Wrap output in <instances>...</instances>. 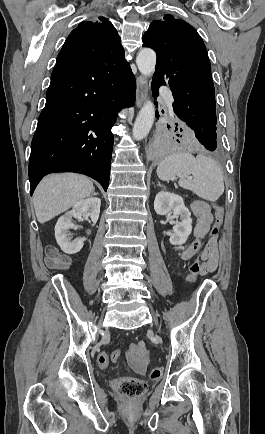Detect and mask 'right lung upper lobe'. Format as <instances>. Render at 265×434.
<instances>
[{"instance_id":"cb5924a9","label":"right lung upper lobe","mask_w":265,"mask_h":434,"mask_svg":"<svg viewBox=\"0 0 265 434\" xmlns=\"http://www.w3.org/2000/svg\"><path fill=\"white\" fill-rule=\"evenodd\" d=\"M124 56L120 37L105 17L81 22L67 37L56 63H101Z\"/></svg>"}]
</instances>
